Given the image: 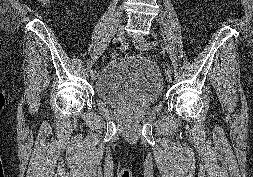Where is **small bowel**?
<instances>
[{
  "mask_svg": "<svg viewBox=\"0 0 253 177\" xmlns=\"http://www.w3.org/2000/svg\"><path fill=\"white\" fill-rule=\"evenodd\" d=\"M37 1H38L39 3H41L42 5L46 6V7L49 6V5L43 4L42 0H37ZM67 13H68V15H70V16L73 14V12H72L71 9H68V10H67Z\"/></svg>",
  "mask_w": 253,
  "mask_h": 177,
  "instance_id": "c3829d8e",
  "label": "small bowel"
}]
</instances>
